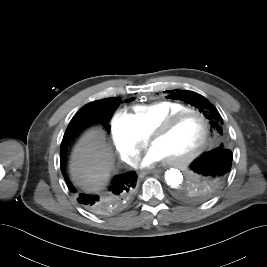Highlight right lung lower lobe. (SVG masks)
Wrapping results in <instances>:
<instances>
[{
    "instance_id": "obj_1",
    "label": "right lung lower lobe",
    "mask_w": 267,
    "mask_h": 267,
    "mask_svg": "<svg viewBox=\"0 0 267 267\" xmlns=\"http://www.w3.org/2000/svg\"><path fill=\"white\" fill-rule=\"evenodd\" d=\"M109 112L102 104L89 103L85 105L70 121L64 134L60 149L61 171L67 186L73 192L77 201L86 208L102 215L116 213L124 209L131 201L137 185V175L134 171L119 174L113 177L104 196L86 194L78 190L69 181L64 162L68 145L75 134L91 123H100L107 128Z\"/></svg>"
}]
</instances>
